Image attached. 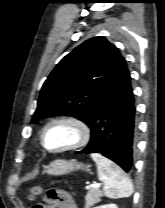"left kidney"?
Segmentation results:
<instances>
[{"label": "left kidney", "instance_id": "1", "mask_svg": "<svg viewBox=\"0 0 165 208\" xmlns=\"http://www.w3.org/2000/svg\"><path fill=\"white\" fill-rule=\"evenodd\" d=\"M95 208H118V206L116 204H106V205L97 206Z\"/></svg>", "mask_w": 165, "mask_h": 208}]
</instances>
